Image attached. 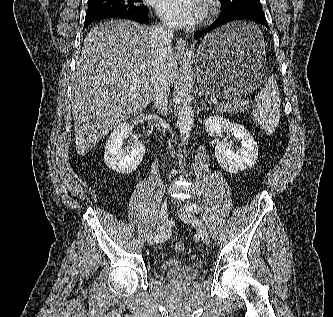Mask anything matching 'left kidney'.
<instances>
[{
	"instance_id": "left-kidney-1",
	"label": "left kidney",
	"mask_w": 333,
	"mask_h": 317,
	"mask_svg": "<svg viewBox=\"0 0 333 317\" xmlns=\"http://www.w3.org/2000/svg\"><path fill=\"white\" fill-rule=\"evenodd\" d=\"M205 128L211 137L220 138L227 131L241 142V147L235 152L232 144L217 140L215 156L225 171L239 173L255 165L258 159V147L243 125L233 123L223 116L211 115L205 119Z\"/></svg>"
}]
</instances>
